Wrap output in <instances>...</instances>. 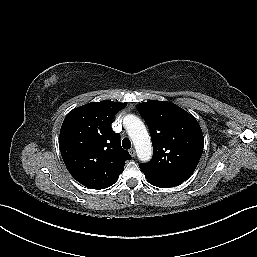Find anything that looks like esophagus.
Instances as JSON below:
<instances>
[{
  "mask_svg": "<svg viewBox=\"0 0 257 257\" xmlns=\"http://www.w3.org/2000/svg\"><path fill=\"white\" fill-rule=\"evenodd\" d=\"M129 153H130V155H131L132 157H135V156H136V151H135L134 148H131V149L129 150Z\"/></svg>",
  "mask_w": 257,
  "mask_h": 257,
  "instance_id": "esophagus-1",
  "label": "esophagus"
}]
</instances>
